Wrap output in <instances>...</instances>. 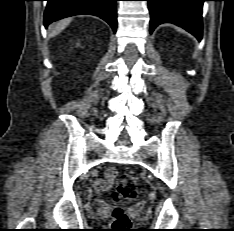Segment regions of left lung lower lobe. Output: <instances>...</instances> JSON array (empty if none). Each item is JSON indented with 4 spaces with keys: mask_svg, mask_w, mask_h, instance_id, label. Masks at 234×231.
Here are the masks:
<instances>
[{
    "mask_svg": "<svg viewBox=\"0 0 234 231\" xmlns=\"http://www.w3.org/2000/svg\"><path fill=\"white\" fill-rule=\"evenodd\" d=\"M151 15L150 33L162 23H173L193 34H203L202 7L207 0H147Z\"/></svg>",
    "mask_w": 234,
    "mask_h": 231,
    "instance_id": "0a47b994",
    "label": "left lung lower lobe"
}]
</instances>
